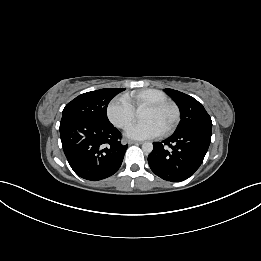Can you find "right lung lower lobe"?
I'll use <instances>...</instances> for the list:
<instances>
[{"label":"right lung lower lobe","instance_id":"right-lung-lower-lobe-1","mask_svg":"<svg viewBox=\"0 0 261 261\" xmlns=\"http://www.w3.org/2000/svg\"><path fill=\"white\" fill-rule=\"evenodd\" d=\"M60 136L65 156L74 172L91 181L105 179L120 168L128 145L111 123L99 124L62 116Z\"/></svg>","mask_w":261,"mask_h":261}]
</instances>
